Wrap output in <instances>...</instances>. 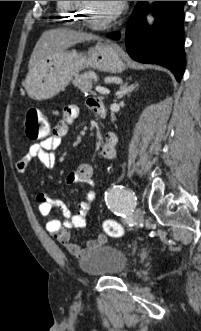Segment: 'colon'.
Wrapping results in <instances>:
<instances>
[{
	"mask_svg": "<svg viewBox=\"0 0 201 331\" xmlns=\"http://www.w3.org/2000/svg\"><path fill=\"white\" fill-rule=\"evenodd\" d=\"M49 124L46 117L37 109H29L25 119V132L32 140H42L49 134ZM104 232L110 237H120L123 234L122 227L113 220H106L103 224ZM97 240L102 244L106 237L100 234Z\"/></svg>",
	"mask_w": 201,
	"mask_h": 331,
	"instance_id": "1",
	"label": "colon"
}]
</instances>
